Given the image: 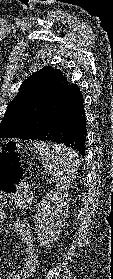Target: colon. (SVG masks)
Segmentation results:
<instances>
[{
	"mask_svg": "<svg viewBox=\"0 0 113 279\" xmlns=\"http://www.w3.org/2000/svg\"><path fill=\"white\" fill-rule=\"evenodd\" d=\"M23 171L18 159V148L7 144L0 150V191L14 195L21 192Z\"/></svg>",
	"mask_w": 113,
	"mask_h": 279,
	"instance_id": "5ec220e1",
	"label": "colon"
}]
</instances>
